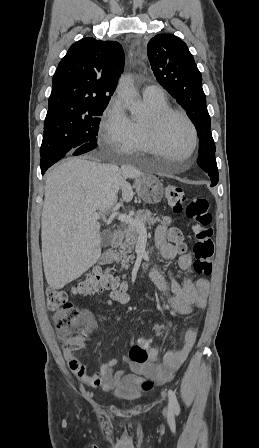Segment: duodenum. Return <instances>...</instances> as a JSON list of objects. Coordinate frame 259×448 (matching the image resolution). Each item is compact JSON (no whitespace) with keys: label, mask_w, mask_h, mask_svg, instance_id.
I'll return each mask as SVG.
<instances>
[{"label":"duodenum","mask_w":259,"mask_h":448,"mask_svg":"<svg viewBox=\"0 0 259 448\" xmlns=\"http://www.w3.org/2000/svg\"><path fill=\"white\" fill-rule=\"evenodd\" d=\"M123 238V231L122 229H116L112 233L111 237V244L110 249L103 252V254L100 257V263L102 265H110L113 262L112 253L111 250L117 248Z\"/></svg>","instance_id":"duodenum-1"}]
</instances>
